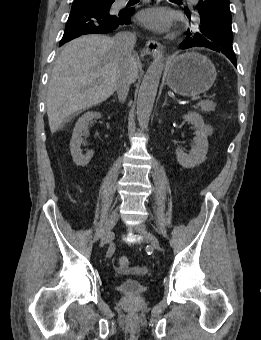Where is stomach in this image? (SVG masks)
Listing matches in <instances>:
<instances>
[{
	"label": "stomach",
	"instance_id": "1",
	"mask_svg": "<svg viewBox=\"0 0 261 340\" xmlns=\"http://www.w3.org/2000/svg\"><path fill=\"white\" fill-rule=\"evenodd\" d=\"M216 75L214 64L194 52L174 56L166 65L167 85L181 96H196L208 91Z\"/></svg>",
	"mask_w": 261,
	"mask_h": 340
}]
</instances>
